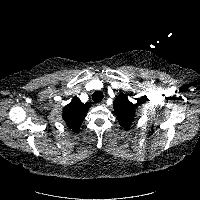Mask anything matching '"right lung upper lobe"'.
<instances>
[{"label":"right lung upper lobe","mask_w":200,"mask_h":200,"mask_svg":"<svg viewBox=\"0 0 200 200\" xmlns=\"http://www.w3.org/2000/svg\"><path fill=\"white\" fill-rule=\"evenodd\" d=\"M90 107V103L84 104L78 98H74L63 111L66 125L74 132L78 131Z\"/></svg>","instance_id":"obj_1"}]
</instances>
